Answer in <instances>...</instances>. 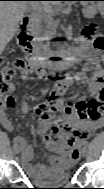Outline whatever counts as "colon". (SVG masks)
Returning a JSON list of instances; mask_svg holds the SVG:
<instances>
[{"label": "colon", "mask_w": 104, "mask_h": 189, "mask_svg": "<svg viewBox=\"0 0 104 189\" xmlns=\"http://www.w3.org/2000/svg\"><path fill=\"white\" fill-rule=\"evenodd\" d=\"M83 39L91 43L94 50L102 52L104 50V36L97 33L93 26L87 27L83 32ZM25 62L22 58L6 59L3 64L2 76L0 80V95L2 106L12 107L14 105V98L10 95L11 81L15 76V72L22 69ZM93 71L98 81L102 80V69L98 59L93 63ZM73 108L72 103L63 106L49 105L41 106L38 111L41 116V121L48 124L41 129L43 141L56 149H65L67 141L65 137L58 136L59 128L54 123L56 117L68 114ZM84 110L87 115H101L103 113V104L100 101L88 102Z\"/></svg>", "instance_id": "5ec220e1"}]
</instances>
